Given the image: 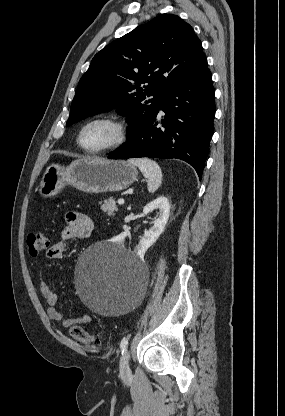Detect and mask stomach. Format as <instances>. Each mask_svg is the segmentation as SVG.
<instances>
[{"label":"stomach","instance_id":"obj_1","mask_svg":"<svg viewBox=\"0 0 285 416\" xmlns=\"http://www.w3.org/2000/svg\"><path fill=\"white\" fill-rule=\"evenodd\" d=\"M137 176L135 166L124 160L80 158L67 168L51 164L42 176L38 192L43 198L57 196L65 186H73L87 194L121 192L129 188Z\"/></svg>","mask_w":285,"mask_h":416}]
</instances>
